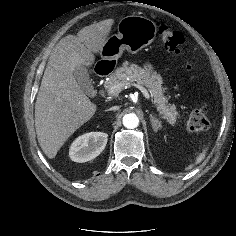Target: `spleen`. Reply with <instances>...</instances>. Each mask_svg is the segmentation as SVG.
I'll list each match as a JSON object with an SVG mask.
<instances>
[{
  "mask_svg": "<svg viewBox=\"0 0 236 236\" xmlns=\"http://www.w3.org/2000/svg\"><path fill=\"white\" fill-rule=\"evenodd\" d=\"M205 155H206V149H204V150L197 156L195 163H196V164L201 163V162L204 160ZM192 167H193V165H189V166L186 168V170H189V169H191Z\"/></svg>",
  "mask_w": 236,
  "mask_h": 236,
  "instance_id": "obj_1",
  "label": "spleen"
}]
</instances>
